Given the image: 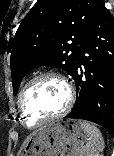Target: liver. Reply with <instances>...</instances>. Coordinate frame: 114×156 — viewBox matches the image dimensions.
<instances>
[{
	"label": "liver",
	"instance_id": "liver-1",
	"mask_svg": "<svg viewBox=\"0 0 114 156\" xmlns=\"http://www.w3.org/2000/svg\"><path fill=\"white\" fill-rule=\"evenodd\" d=\"M29 140V138L24 142V145H23V147H25V145H26V143H27V141Z\"/></svg>",
	"mask_w": 114,
	"mask_h": 156
}]
</instances>
